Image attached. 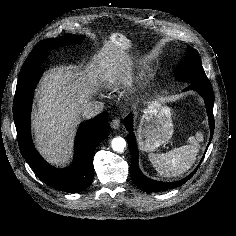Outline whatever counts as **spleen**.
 Wrapping results in <instances>:
<instances>
[{
    "instance_id": "spleen-1",
    "label": "spleen",
    "mask_w": 236,
    "mask_h": 236,
    "mask_svg": "<svg viewBox=\"0 0 236 236\" xmlns=\"http://www.w3.org/2000/svg\"><path fill=\"white\" fill-rule=\"evenodd\" d=\"M203 141V134L197 132L188 138L187 144L161 154H149V159L156 171L163 177H176L187 172L196 160L199 143Z\"/></svg>"
}]
</instances>
